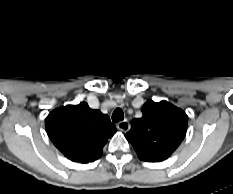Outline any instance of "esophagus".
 Masks as SVG:
<instances>
[{
    "label": "esophagus",
    "instance_id": "34e87169",
    "mask_svg": "<svg viewBox=\"0 0 233 194\" xmlns=\"http://www.w3.org/2000/svg\"><path fill=\"white\" fill-rule=\"evenodd\" d=\"M117 128L123 132H128L130 130V123L127 120L120 121L117 124Z\"/></svg>",
    "mask_w": 233,
    "mask_h": 194
}]
</instances>
